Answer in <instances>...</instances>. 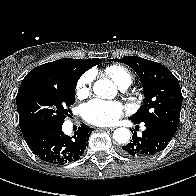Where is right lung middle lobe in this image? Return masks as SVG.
Returning <instances> with one entry per match:
<instances>
[{
  "mask_svg": "<svg viewBox=\"0 0 196 196\" xmlns=\"http://www.w3.org/2000/svg\"><path fill=\"white\" fill-rule=\"evenodd\" d=\"M78 77L48 75L20 87L16 102L22 133L63 123L75 102Z\"/></svg>",
  "mask_w": 196,
  "mask_h": 196,
  "instance_id": "1",
  "label": "right lung middle lobe"
}]
</instances>
